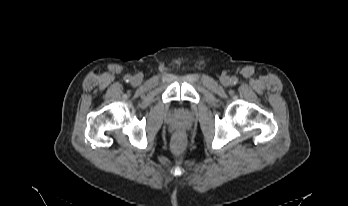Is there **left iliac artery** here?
<instances>
[{"instance_id": "left-iliac-artery-1", "label": "left iliac artery", "mask_w": 348, "mask_h": 206, "mask_svg": "<svg viewBox=\"0 0 348 206\" xmlns=\"http://www.w3.org/2000/svg\"><path fill=\"white\" fill-rule=\"evenodd\" d=\"M231 81H232V84H237L238 79L236 77H232Z\"/></svg>"}]
</instances>
